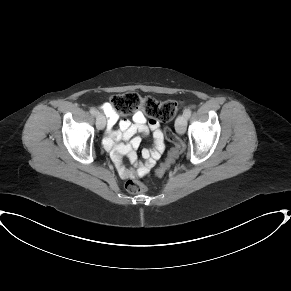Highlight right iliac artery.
<instances>
[{
	"label": "right iliac artery",
	"mask_w": 291,
	"mask_h": 291,
	"mask_svg": "<svg viewBox=\"0 0 291 291\" xmlns=\"http://www.w3.org/2000/svg\"><path fill=\"white\" fill-rule=\"evenodd\" d=\"M90 113H91L92 115L96 116V115L98 114V111H97L95 108L91 107V108H90Z\"/></svg>",
	"instance_id": "82829eb1"
}]
</instances>
